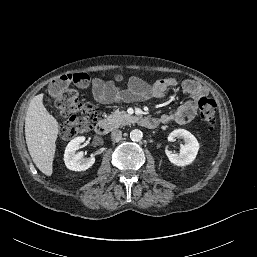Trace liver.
<instances>
[{
	"instance_id": "6515ba94",
	"label": "liver",
	"mask_w": 257,
	"mask_h": 257,
	"mask_svg": "<svg viewBox=\"0 0 257 257\" xmlns=\"http://www.w3.org/2000/svg\"><path fill=\"white\" fill-rule=\"evenodd\" d=\"M59 134L58 121L43 105V94L36 95L30 102L25 117V138L28 151L36 167L51 176Z\"/></svg>"
}]
</instances>
